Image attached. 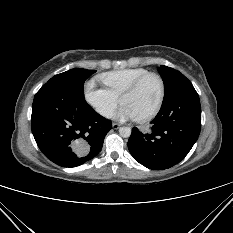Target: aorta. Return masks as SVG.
<instances>
[{
	"label": "aorta",
	"mask_w": 233,
	"mask_h": 233,
	"mask_svg": "<svg viewBox=\"0 0 233 233\" xmlns=\"http://www.w3.org/2000/svg\"><path fill=\"white\" fill-rule=\"evenodd\" d=\"M119 134L123 138H128L131 135V128L130 127H120Z\"/></svg>",
	"instance_id": "1"
}]
</instances>
